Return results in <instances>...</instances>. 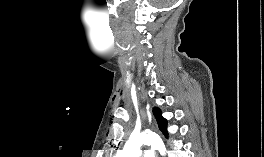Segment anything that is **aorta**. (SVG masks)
<instances>
[{
	"instance_id": "aorta-1",
	"label": "aorta",
	"mask_w": 264,
	"mask_h": 157,
	"mask_svg": "<svg viewBox=\"0 0 264 157\" xmlns=\"http://www.w3.org/2000/svg\"><path fill=\"white\" fill-rule=\"evenodd\" d=\"M145 145H150L161 154H164L166 150L163 141L157 135L142 132L132 135L116 157H140L141 148Z\"/></svg>"
}]
</instances>
